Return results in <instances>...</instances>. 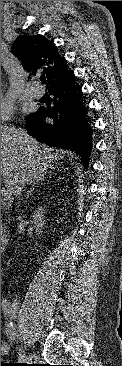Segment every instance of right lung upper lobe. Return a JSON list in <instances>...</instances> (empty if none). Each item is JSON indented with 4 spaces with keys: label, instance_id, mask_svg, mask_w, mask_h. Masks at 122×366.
<instances>
[{
    "label": "right lung upper lobe",
    "instance_id": "right-lung-upper-lobe-1",
    "mask_svg": "<svg viewBox=\"0 0 122 366\" xmlns=\"http://www.w3.org/2000/svg\"><path fill=\"white\" fill-rule=\"evenodd\" d=\"M14 53L24 62L27 70L42 71L50 87L70 79L73 71L57 51V47L42 35L19 37L13 43Z\"/></svg>",
    "mask_w": 122,
    "mask_h": 366
}]
</instances>
